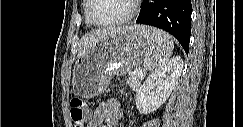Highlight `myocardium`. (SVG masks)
Masks as SVG:
<instances>
[{
	"mask_svg": "<svg viewBox=\"0 0 243 127\" xmlns=\"http://www.w3.org/2000/svg\"><path fill=\"white\" fill-rule=\"evenodd\" d=\"M94 1L95 0H88L87 18H88L89 22L91 23V25L96 26V27H102V28L115 27V26H119V25H122V24L130 21L137 14V12L139 10V4H140V0H129L130 4H131V9L127 15H125L124 17L117 19L115 21L103 23V22L96 21L92 15V8L94 5Z\"/></svg>",
	"mask_w": 243,
	"mask_h": 127,
	"instance_id": "obj_1",
	"label": "myocardium"
}]
</instances>
